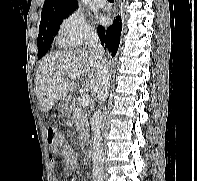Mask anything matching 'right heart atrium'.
I'll use <instances>...</instances> for the list:
<instances>
[{
    "instance_id": "obj_1",
    "label": "right heart atrium",
    "mask_w": 197,
    "mask_h": 181,
    "mask_svg": "<svg viewBox=\"0 0 197 181\" xmlns=\"http://www.w3.org/2000/svg\"><path fill=\"white\" fill-rule=\"evenodd\" d=\"M60 39L63 43L80 47L91 42L95 33L93 28L86 21L84 14L80 11H72L60 23Z\"/></svg>"
}]
</instances>
